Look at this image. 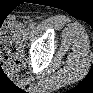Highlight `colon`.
Returning <instances> with one entry per match:
<instances>
[{
  "label": "colon",
  "instance_id": "1",
  "mask_svg": "<svg viewBox=\"0 0 93 93\" xmlns=\"http://www.w3.org/2000/svg\"><path fill=\"white\" fill-rule=\"evenodd\" d=\"M1 37L3 41V50H2V66L6 67H15L21 60L13 55L10 47L13 45L14 35L8 30V28L1 24Z\"/></svg>",
  "mask_w": 93,
  "mask_h": 93
}]
</instances>
